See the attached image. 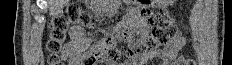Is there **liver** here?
<instances>
[{
    "label": "liver",
    "instance_id": "liver-1",
    "mask_svg": "<svg viewBox=\"0 0 232 65\" xmlns=\"http://www.w3.org/2000/svg\"><path fill=\"white\" fill-rule=\"evenodd\" d=\"M69 0H47L49 12L52 16L59 15Z\"/></svg>",
    "mask_w": 232,
    "mask_h": 65
}]
</instances>
